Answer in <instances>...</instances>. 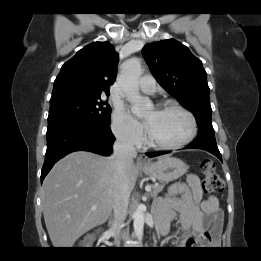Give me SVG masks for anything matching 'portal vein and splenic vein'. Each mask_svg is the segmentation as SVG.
Listing matches in <instances>:
<instances>
[{"instance_id":"obj_1","label":"portal vein and splenic vein","mask_w":261,"mask_h":261,"mask_svg":"<svg viewBox=\"0 0 261 261\" xmlns=\"http://www.w3.org/2000/svg\"><path fill=\"white\" fill-rule=\"evenodd\" d=\"M145 190H146L147 192H150V191H151V186H149V185L146 186V187H145ZM93 209H95V208H93Z\"/></svg>"}]
</instances>
